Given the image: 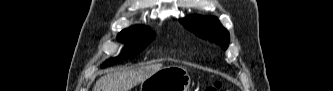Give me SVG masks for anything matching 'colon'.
<instances>
[{
	"label": "colon",
	"mask_w": 333,
	"mask_h": 91,
	"mask_svg": "<svg viewBox=\"0 0 333 91\" xmlns=\"http://www.w3.org/2000/svg\"><path fill=\"white\" fill-rule=\"evenodd\" d=\"M222 89V86L219 82H215L211 85H209L205 91H220Z\"/></svg>",
	"instance_id": "colon-1"
}]
</instances>
